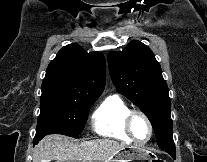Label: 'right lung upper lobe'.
I'll return each instance as SVG.
<instances>
[{
	"mask_svg": "<svg viewBox=\"0 0 207 162\" xmlns=\"http://www.w3.org/2000/svg\"><path fill=\"white\" fill-rule=\"evenodd\" d=\"M105 58L87 53L78 44L63 47L47 68L42 90L100 96L105 86Z\"/></svg>",
	"mask_w": 207,
	"mask_h": 162,
	"instance_id": "right-lung-upper-lobe-1",
	"label": "right lung upper lobe"
}]
</instances>
